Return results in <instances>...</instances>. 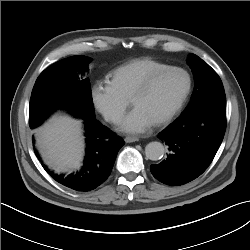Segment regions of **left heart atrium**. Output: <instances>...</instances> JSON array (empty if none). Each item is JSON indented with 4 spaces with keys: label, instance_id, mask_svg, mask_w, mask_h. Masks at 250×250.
Instances as JSON below:
<instances>
[{
    "label": "left heart atrium",
    "instance_id": "left-heart-atrium-1",
    "mask_svg": "<svg viewBox=\"0 0 250 250\" xmlns=\"http://www.w3.org/2000/svg\"><path fill=\"white\" fill-rule=\"evenodd\" d=\"M153 124L154 122L142 109L134 107L122 121L121 130L128 133H142L148 130Z\"/></svg>",
    "mask_w": 250,
    "mask_h": 250
}]
</instances>
